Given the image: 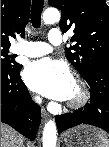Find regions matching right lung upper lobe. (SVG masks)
Wrapping results in <instances>:
<instances>
[{"mask_svg": "<svg viewBox=\"0 0 109 147\" xmlns=\"http://www.w3.org/2000/svg\"><path fill=\"white\" fill-rule=\"evenodd\" d=\"M30 4V0H1V48L9 49V36H15L14 32H25Z\"/></svg>", "mask_w": 109, "mask_h": 147, "instance_id": "right-lung-upper-lobe-1", "label": "right lung upper lobe"}]
</instances>
